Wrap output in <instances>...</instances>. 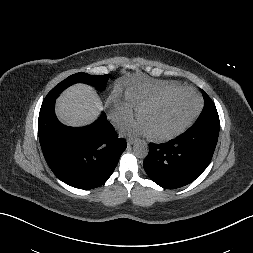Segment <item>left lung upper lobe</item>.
Masks as SVG:
<instances>
[{"instance_id": "left-lung-upper-lobe-1", "label": "left lung upper lobe", "mask_w": 253, "mask_h": 253, "mask_svg": "<svg viewBox=\"0 0 253 253\" xmlns=\"http://www.w3.org/2000/svg\"><path fill=\"white\" fill-rule=\"evenodd\" d=\"M201 92L204 97V107L197 121L198 120L219 121V116L213 101L203 90H201Z\"/></svg>"}]
</instances>
